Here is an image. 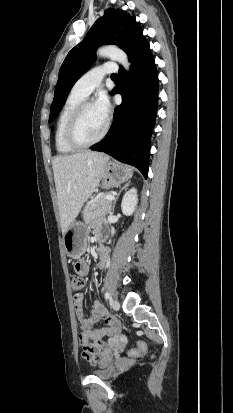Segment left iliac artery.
Returning <instances> with one entry per match:
<instances>
[{
	"instance_id": "1",
	"label": "left iliac artery",
	"mask_w": 233,
	"mask_h": 413,
	"mask_svg": "<svg viewBox=\"0 0 233 413\" xmlns=\"http://www.w3.org/2000/svg\"><path fill=\"white\" fill-rule=\"evenodd\" d=\"M109 298H110V293H109V292H106V293H105V299L108 300Z\"/></svg>"
}]
</instances>
